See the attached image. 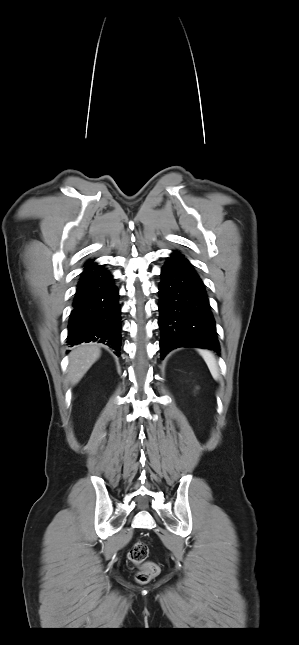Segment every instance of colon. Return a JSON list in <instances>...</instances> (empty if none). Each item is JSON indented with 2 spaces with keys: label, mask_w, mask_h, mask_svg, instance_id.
I'll list each match as a JSON object with an SVG mask.
<instances>
[{
  "label": "colon",
  "mask_w": 299,
  "mask_h": 645,
  "mask_svg": "<svg viewBox=\"0 0 299 645\" xmlns=\"http://www.w3.org/2000/svg\"><path fill=\"white\" fill-rule=\"evenodd\" d=\"M149 549L147 544L142 540H137L131 546L128 552L130 561L139 567L136 574V580L140 584H146L159 574L160 568L154 563L147 561Z\"/></svg>",
  "instance_id": "1"
}]
</instances>
